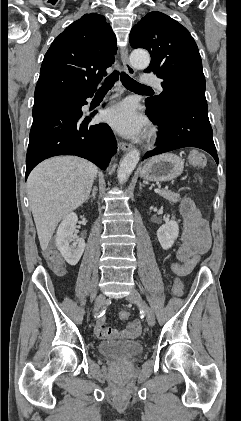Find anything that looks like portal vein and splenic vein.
Returning <instances> with one entry per match:
<instances>
[{"instance_id": "18ae733b", "label": "portal vein and splenic vein", "mask_w": 241, "mask_h": 421, "mask_svg": "<svg viewBox=\"0 0 241 421\" xmlns=\"http://www.w3.org/2000/svg\"><path fill=\"white\" fill-rule=\"evenodd\" d=\"M154 191H155L156 193H159V192H160V189L156 188Z\"/></svg>"}]
</instances>
